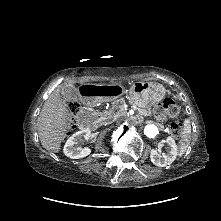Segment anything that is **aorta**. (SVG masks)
<instances>
[{
  "label": "aorta",
  "mask_w": 221,
  "mask_h": 221,
  "mask_svg": "<svg viewBox=\"0 0 221 221\" xmlns=\"http://www.w3.org/2000/svg\"><path fill=\"white\" fill-rule=\"evenodd\" d=\"M159 133L157 126L148 124L145 126L144 134L149 138H154Z\"/></svg>",
  "instance_id": "obj_1"
}]
</instances>
